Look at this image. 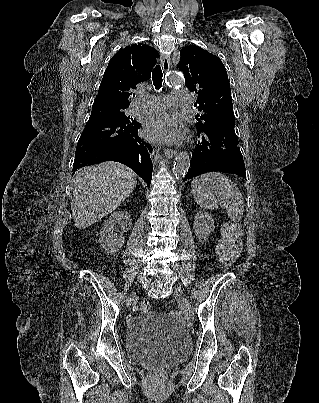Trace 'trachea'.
Returning a JSON list of instances; mask_svg holds the SVG:
<instances>
[{
	"mask_svg": "<svg viewBox=\"0 0 319 403\" xmlns=\"http://www.w3.org/2000/svg\"><path fill=\"white\" fill-rule=\"evenodd\" d=\"M163 73L162 69L159 65L155 66L153 72H152V80L155 88L159 90L162 87V79Z\"/></svg>",
	"mask_w": 319,
	"mask_h": 403,
	"instance_id": "1",
	"label": "trachea"
}]
</instances>
